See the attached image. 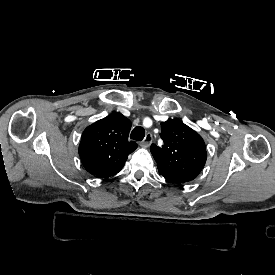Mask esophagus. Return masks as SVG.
Instances as JSON below:
<instances>
[{
  "instance_id": "obj_1",
  "label": "esophagus",
  "mask_w": 275,
  "mask_h": 275,
  "mask_svg": "<svg viewBox=\"0 0 275 275\" xmlns=\"http://www.w3.org/2000/svg\"><path fill=\"white\" fill-rule=\"evenodd\" d=\"M153 140L152 133L148 132L144 138V140L140 143V146L142 148H147L150 146L151 142Z\"/></svg>"
}]
</instances>
